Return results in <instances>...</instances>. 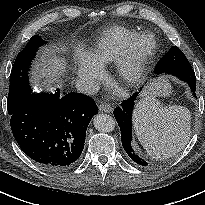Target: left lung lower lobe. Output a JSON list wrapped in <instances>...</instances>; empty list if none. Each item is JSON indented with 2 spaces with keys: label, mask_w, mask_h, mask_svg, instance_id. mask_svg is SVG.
Wrapping results in <instances>:
<instances>
[{
  "label": "left lung lower lobe",
  "mask_w": 205,
  "mask_h": 205,
  "mask_svg": "<svg viewBox=\"0 0 205 205\" xmlns=\"http://www.w3.org/2000/svg\"><path fill=\"white\" fill-rule=\"evenodd\" d=\"M167 74H172L178 77L179 79L187 82L193 92V95L196 96V77L194 70L192 68H181L166 71ZM159 75V74H157ZM138 96L136 92L130 99L122 102L121 107H117L114 110V116L118 122L121 131V140L122 145L129 155V157L139 165L146 166L147 162L141 159L132 149L131 140H132V112L134 107V102Z\"/></svg>",
  "instance_id": "left-lung-lower-lobe-1"
}]
</instances>
